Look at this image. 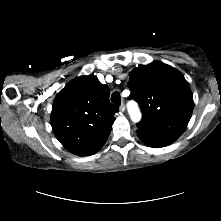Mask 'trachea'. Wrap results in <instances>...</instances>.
Segmentation results:
<instances>
[{"instance_id": "trachea-1", "label": "trachea", "mask_w": 221, "mask_h": 221, "mask_svg": "<svg viewBox=\"0 0 221 221\" xmlns=\"http://www.w3.org/2000/svg\"><path fill=\"white\" fill-rule=\"evenodd\" d=\"M111 101L116 105H120L121 103L120 94L118 92H114L111 96Z\"/></svg>"}]
</instances>
